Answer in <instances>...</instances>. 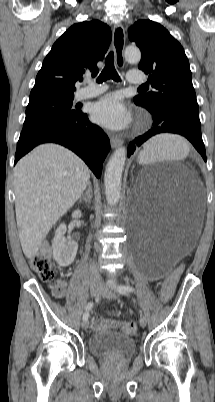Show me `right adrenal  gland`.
Returning <instances> with one entry per match:
<instances>
[{
	"mask_svg": "<svg viewBox=\"0 0 215 402\" xmlns=\"http://www.w3.org/2000/svg\"><path fill=\"white\" fill-rule=\"evenodd\" d=\"M92 199V186L91 183H88V188L86 192L78 199L79 202L84 201L86 204H90Z\"/></svg>",
	"mask_w": 215,
	"mask_h": 402,
	"instance_id": "right-adrenal-gland-1",
	"label": "right adrenal gland"
}]
</instances>
